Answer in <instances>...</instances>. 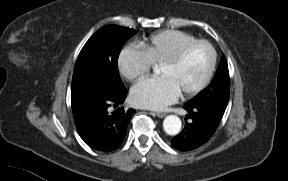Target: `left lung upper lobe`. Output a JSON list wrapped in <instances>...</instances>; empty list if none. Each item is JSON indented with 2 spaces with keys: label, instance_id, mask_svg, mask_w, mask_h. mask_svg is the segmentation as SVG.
Here are the masks:
<instances>
[{
  "label": "left lung upper lobe",
  "instance_id": "5c2ea615",
  "mask_svg": "<svg viewBox=\"0 0 288 181\" xmlns=\"http://www.w3.org/2000/svg\"><path fill=\"white\" fill-rule=\"evenodd\" d=\"M229 91V71L226 58L223 55L212 83L196 97L191 99L186 105L208 106L224 113L229 100Z\"/></svg>",
  "mask_w": 288,
  "mask_h": 181
}]
</instances>
